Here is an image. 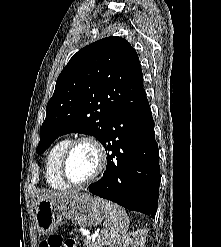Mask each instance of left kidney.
<instances>
[{
  "label": "left kidney",
  "instance_id": "obj_1",
  "mask_svg": "<svg viewBox=\"0 0 221 247\" xmlns=\"http://www.w3.org/2000/svg\"><path fill=\"white\" fill-rule=\"evenodd\" d=\"M147 237L146 230H137L125 236L119 243L113 247H145Z\"/></svg>",
  "mask_w": 221,
  "mask_h": 247
}]
</instances>
